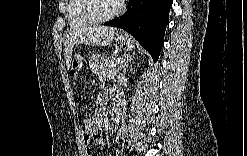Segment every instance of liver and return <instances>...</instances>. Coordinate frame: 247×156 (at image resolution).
I'll return each instance as SVG.
<instances>
[{
    "label": "liver",
    "mask_w": 247,
    "mask_h": 156,
    "mask_svg": "<svg viewBox=\"0 0 247 156\" xmlns=\"http://www.w3.org/2000/svg\"><path fill=\"white\" fill-rule=\"evenodd\" d=\"M118 30L113 27L93 26L69 31L64 40V56L67 68L71 66L72 52L75 45L106 46L111 43Z\"/></svg>",
    "instance_id": "obj_1"
}]
</instances>
